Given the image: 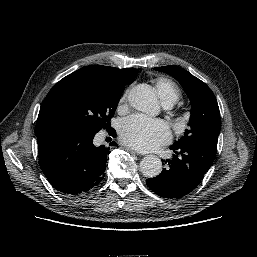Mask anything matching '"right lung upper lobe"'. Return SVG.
Here are the masks:
<instances>
[{
  "label": "right lung upper lobe",
  "instance_id": "1",
  "mask_svg": "<svg viewBox=\"0 0 257 257\" xmlns=\"http://www.w3.org/2000/svg\"><path fill=\"white\" fill-rule=\"evenodd\" d=\"M125 70L126 69H118V68L102 66V65H90V66L83 67L73 72L70 75L86 73V74L95 75L101 78L102 80H105L108 82L119 83L124 78ZM53 88L44 99L40 108V112H39L37 124H36V131H35L37 140L41 139L43 136L51 133L52 131L58 128L56 125L52 123L48 112L49 99L52 94Z\"/></svg>",
  "mask_w": 257,
  "mask_h": 257
}]
</instances>
